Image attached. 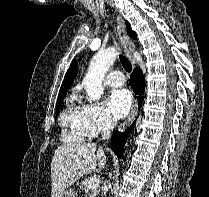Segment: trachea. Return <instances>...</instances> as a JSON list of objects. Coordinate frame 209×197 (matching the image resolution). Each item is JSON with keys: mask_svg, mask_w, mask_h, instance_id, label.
<instances>
[{"mask_svg": "<svg viewBox=\"0 0 209 197\" xmlns=\"http://www.w3.org/2000/svg\"><path fill=\"white\" fill-rule=\"evenodd\" d=\"M119 58H120V61L122 63V66L124 67V69L127 72H131L132 66H131V63L129 62V60L123 54H120Z\"/></svg>", "mask_w": 209, "mask_h": 197, "instance_id": "1", "label": "trachea"}]
</instances>
